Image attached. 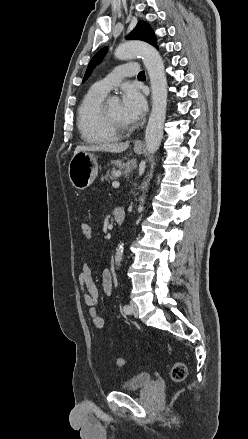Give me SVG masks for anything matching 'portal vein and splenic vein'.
Wrapping results in <instances>:
<instances>
[{
    "label": "portal vein and splenic vein",
    "instance_id": "portal-vein-and-splenic-vein-1",
    "mask_svg": "<svg viewBox=\"0 0 248 439\" xmlns=\"http://www.w3.org/2000/svg\"><path fill=\"white\" fill-rule=\"evenodd\" d=\"M112 186H113V188H119L120 184H119V182L114 181V182L112 183Z\"/></svg>",
    "mask_w": 248,
    "mask_h": 439
}]
</instances>
